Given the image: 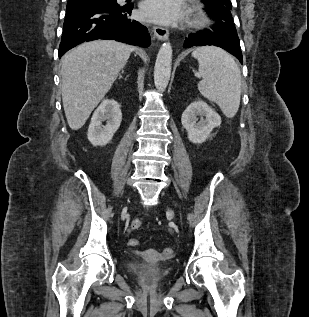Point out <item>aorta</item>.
Returning <instances> with one entry per match:
<instances>
[{"mask_svg":"<svg viewBox=\"0 0 309 317\" xmlns=\"http://www.w3.org/2000/svg\"><path fill=\"white\" fill-rule=\"evenodd\" d=\"M172 67V46L169 42L163 43L160 48L155 68H154V83L159 91H164L169 83Z\"/></svg>","mask_w":309,"mask_h":317,"instance_id":"1","label":"aorta"}]
</instances>
